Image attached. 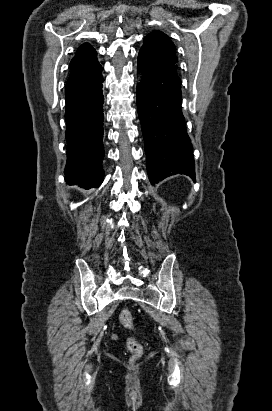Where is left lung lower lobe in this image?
Here are the masks:
<instances>
[{
  "label": "left lung lower lobe",
  "mask_w": 272,
  "mask_h": 411,
  "mask_svg": "<svg viewBox=\"0 0 272 411\" xmlns=\"http://www.w3.org/2000/svg\"><path fill=\"white\" fill-rule=\"evenodd\" d=\"M138 69L143 73L137 87L138 115L151 184L177 173L194 179L195 164L182 114L179 76L141 50Z\"/></svg>",
  "instance_id": "0a47b994"
}]
</instances>
